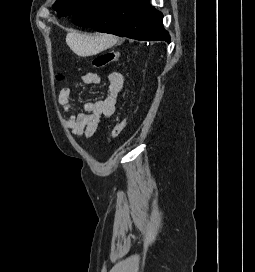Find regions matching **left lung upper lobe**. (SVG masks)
Wrapping results in <instances>:
<instances>
[{"instance_id":"left-lung-upper-lobe-1","label":"left lung upper lobe","mask_w":255,"mask_h":272,"mask_svg":"<svg viewBox=\"0 0 255 272\" xmlns=\"http://www.w3.org/2000/svg\"><path fill=\"white\" fill-rule=\"evenodd\" d=\"M90 0H58L53 8L57 11V16H68L74 14L77 10L87 4Z\"/></svg>"}]
</instances>
